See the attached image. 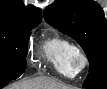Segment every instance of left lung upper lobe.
<instances>
[{
	"label": "left lung upper lobe",
	"instance_id": "1",
	"mask_svg": "<svg viewBox=\"0 0 107 89\" xmlns=\"http://www.w3.org/2000/svg\"><path fill=\"white\" fill-rule=\"evenodd\" d=\"M46 22L74 38L89 59L83 87L107 82V20L93 0H59L46 7Z\"/></svg>",
	"mask_w": 107,
	"mask_h": 89
}]
</instances>
